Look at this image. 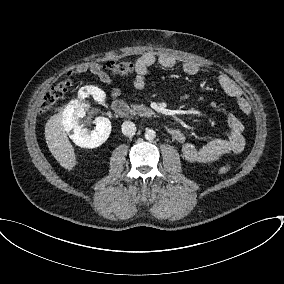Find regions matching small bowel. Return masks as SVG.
Listing matches in <instances>:
<instances>
[{
  "label": "small bowel",
  "instance_id": "1",
  "mask_svg": "<svg viewBox=\"0 0 284 284\" xmlns=\"http://www.w3.org/2000/svg\"><path fill=\"white\" fill-rule=\"evenodd\" d=\"M158 63L163 68H173L177 64V59L168 53H145L135 59L134 68L135 76L132 85L135 89L141 90L146 83V75L148 69ZM183 72L193 76L201 71L200 66L193 62L187 61L182 64ZM90 71L95 74L102 83L109 85L112 78L104 71L101 63H84L77 67L74 73H82ZM219 87L230 97L236 98L240 111L248 115L249 106L241 98V91L236 83L226 74H220L217 78ZM112 98H118L122 95L121 90L113 89L111 91ZM227 129L225 137L214 138L203 145L196 146L186 141L185 135L176 130L173 138L182 144V154L185 159L192 163H212L226 155L240 154L245 147L244 125L242 121L234 114L229 112L226 117Z\"/></svg>",
  "mask_w": 284,
  "mask_h": 284
}]
</instances>
